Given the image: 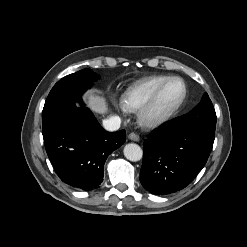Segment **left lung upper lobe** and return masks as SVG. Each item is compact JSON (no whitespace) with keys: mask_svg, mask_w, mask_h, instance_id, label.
I'll return each instance as SVG.
<instances>
[{"mask_svg":"<svg viewBox=\"0 0 247 247\" xmlns=\"http://www.w3.org/2000/svg\"><path fill=\"white\" fill-rule=\"evenodd\" d=\"M179 123L184 128L215 132L216 113L207 93L190 113L180 118Z\"/></svg>","mask_w":247,"mask_h":247,"instance_id":"5c2ea615","label":"left lung upper lobe"}]
</instances>
